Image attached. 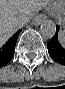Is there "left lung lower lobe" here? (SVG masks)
<instances>
[{
	"label": "left lung lower lobe",
	"instance_id": "left-lung-lower-lobe-1",
	"mask_svg": "<svg viewBox=\"0 0 65 89\" xmlns=\"http://www.w3.org/2000/svg\"><path fill=\"white\" fill-rule=\"evenodd\" d=\"M59 31V26H56V34L47 43V48L50 56L58 63L65 65V36L63 35V40L59 42L57 33Z\"/></svg>",
	"mask_w": 65,
	"mask_h": 89
}]
</instances>
